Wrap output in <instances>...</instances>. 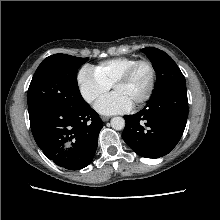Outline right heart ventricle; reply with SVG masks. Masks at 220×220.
<instances>
[{"label":"right heart ventricle","mask_w":220,"mask_h":220,"mask_svg":"<svg viewBox=\"0 0 220 220\" xmlns=\"http://www.w3.org/2000/svg\"><path fill=\"white\" fill-rule=\"evenodd\" d=\"M136 61L134 57H116L100 62L93 67L94 73L109 87Z\"/></svg>","instance_id":"e07e8e85"}]
</instances>
